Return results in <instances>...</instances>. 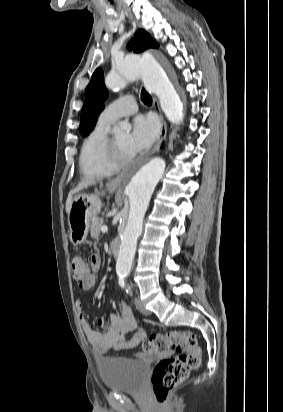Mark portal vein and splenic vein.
Here are the masks:
<instances>
[{"label": "portal vein and splenic vein", "instance_id": "18ae733b", "mask_svg": "<svg viewBox=\"0 0 283 412\" xmlns=\"http://www.w3.org/2000/svg\"><path fill=\"white\" fill-rule=\"evenodd\" d=\"M101 231L104 233V232H107L108 231V227L107 226H105V225H103L102 227H101Z\"/></svg>", "mask_w": 283, "mask_h": 412}]
</instances>
